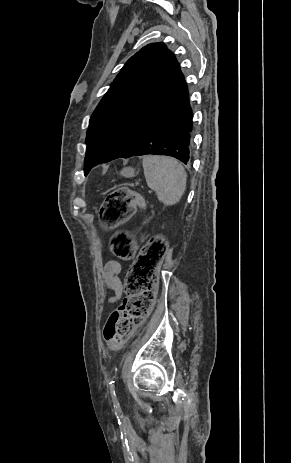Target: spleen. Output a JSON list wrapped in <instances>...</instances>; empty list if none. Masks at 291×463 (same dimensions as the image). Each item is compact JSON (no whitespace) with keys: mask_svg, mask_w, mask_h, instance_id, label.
<instances>
[{"mask_svg":"<svg viewBox=\"0 0 291 463\" xmlns=\"http://www.w3.org/2000/svg\"><path fill=\"white\" fill-rule=\"evenodd\" d=\"M142 163L147 185L156 192L158 200L166 206L177 204L186 188L183 166L165 156H145Z\"/></svg>","mask_w":291,"mask_h":463,"instance_id":"3e777b00","label":"spleen"}]
</instances>
